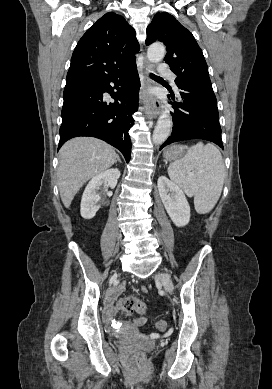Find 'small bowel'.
<instances>
[{
    "instance_id": "obj_1",
    "label": "small bowel",
    "mask_w": 272,
    "mask_h": 389,
    "mask_svg": "<svg viewBox=\"0 0 272 389\" xmlns=\"http://www.w3.org/2000/svg\"><path fill=\"white\" fill-rule=\"evenodd\" d=\"M121 289H116L112 295L108 298L107 300V308H108V313L111 315L115 312V310L111 307L114 299L116 298V296L120 293ZM144 319L143 318H140L138 320H136V324H143L144 323Z\"/></svg>"
}]
</instances>
